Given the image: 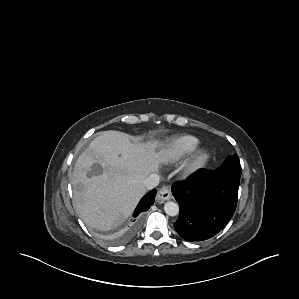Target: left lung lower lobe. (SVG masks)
I'll use <instances>...</instances> for the list:
<instances>
[{
	"label": "left lung lower lobe",
	"mask_w": 299,
	"mask_h": 299,
	"mask_svg": "<svg viewBox=\"0 0 299 299\" xmlns=\"http://www.w3.org/2000/svg\"><path fill=\"white\" fill-rule=\"evenodd\" d=\"M240 177L200 169L185 181L175 183L172 193L180 215L174 223L187 241H203L220 232L233 216Z\"/></svg>",
	"instance_id": "1"
}]
</instances>
